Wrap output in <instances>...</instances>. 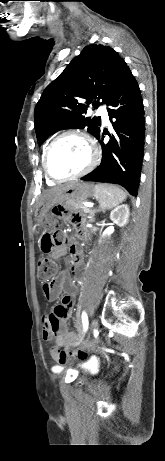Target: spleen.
<instances>
[{
    "mask_svg": "<svg viewBox=\"0 0 165 461\" xmlns=\"http://www.w3.org/2000/svg\"><path fill=\"white\" fill-rule=\"evenodd\" d=\"M95 197L103 210H110L122 203L127 198V194L118 186L97 184Z\"/></svg>",
    "mask_w": 165,
    "mask_h": 461,
    "instance_id": "obj_1",
    "label": "spleen"
}]
</instances>
